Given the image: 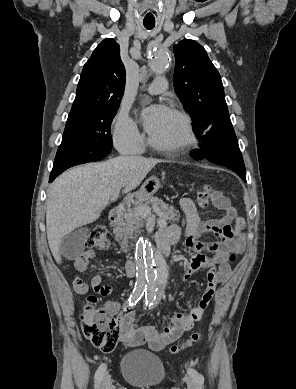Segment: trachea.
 <instances>
[{"label":"trachea","instance_id":"3493384b","mask_svg":"<svg viewBox=\"0 0 296 389\" xmlns=\"http://www.w3.org/2000/svg\"><path fill=\"white\" fill-rule=\"evenodd\" d=\"M144 27H145L147 30H150V29H153V28H154V24H144Z\"/></svg>","mask_w":296,"mask_h":389}]
</instances>
